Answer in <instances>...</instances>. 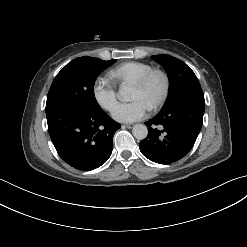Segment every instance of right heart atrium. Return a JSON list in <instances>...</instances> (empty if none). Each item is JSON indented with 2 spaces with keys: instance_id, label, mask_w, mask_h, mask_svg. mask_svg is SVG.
Listing matches in <instances>:
<instances>
[{
  "instance_id": "obj_1",
  "label": "right heart atrium",
  "mask_w": 247,
  "mask_h": 247,
  "mask_svg": "<svg viewBox=\"0 0 247 247\" xmlns=\"http://www.w3.org/2000/svg\"><path fill=\"white\" fill-rule=\"evenodd\" d=\"M93 95L103 109L111 110L117 101L116 86L112 78L98 77L93 84Z\"/></svg>"
}]
</instances>
